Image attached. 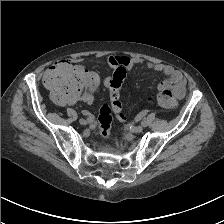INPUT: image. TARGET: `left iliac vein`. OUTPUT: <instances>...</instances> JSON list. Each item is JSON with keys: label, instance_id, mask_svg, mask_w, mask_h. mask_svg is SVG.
<instances>
[{"label": "left iliac vein", "instance_id": "left-iliac-vein-1", "mask_svg": "<svg viewBox=\"0 0 224 224\" xmlns=\"http://www.w3.org/2000/svg\"><path fill=\"white\" fill-rule=\"evenodd\" d=\"M142 131H143L142 126H136V127L133 128L134 133H141Z\"/></svg>", "mask_w": 224, "mask_h": 224}]
</instances>
